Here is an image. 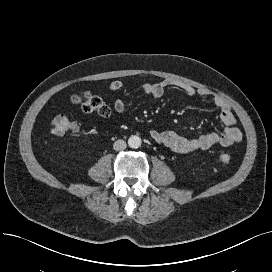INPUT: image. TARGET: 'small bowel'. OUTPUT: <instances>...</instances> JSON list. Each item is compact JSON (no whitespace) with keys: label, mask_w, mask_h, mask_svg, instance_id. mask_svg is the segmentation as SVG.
Here are the masks:
<instances>
[{"label":"small bowel","mask_w":272,"mask_h":272,"mask_svg":"<svg viewBox=\"0 0 272 272\" xmlns=\"http://www.w3.org/2000/svg\"><path fill=\"white\" fill-rule=\"evenodd\" d=\"M124 87L121 80L113 81L109 89L118 91ZM177 88L183 91L189 97H208L211 92L206 89H195L189 84L173 80L163 79L158 82H146L142 85V91L151 97L160 98L163 96L167 88ZM213 104L220 111V120L224 126L222 133L209 132L196 138H186L173 131L160 132L155 129H150V136L161 146L167 150L177 153L186 154L197 150H206L214 145L229 147L240 142L243 138L241 130L236 127V117L234 116L229 103L221 96H213ZM115 110L117 113H124L126 110L125 104L121 99L115 102Z\"/></svg>","instance_id":"small-bowel-1"}]
</instances>
